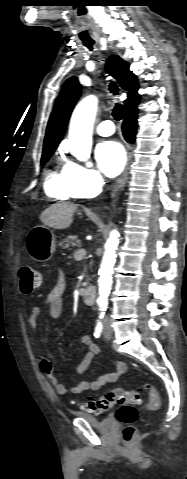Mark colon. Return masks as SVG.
Returning a JSON list of instances; mask_svg holds the SVG:
<instances>
[{
  "mask_svg": "<svg viewBox=\"0 0 187 479\" xmlns=\"http://www.w3.org/2000/svg\"><path fill=\"white\" fill-rule=\"evenodd\" d=\"M18 274L20 278V288L23 293H32L42 284L41 273L29 265L20 266ZM145 388L149 393V401L146 407L151 410L157 409L160 404L158 392L150 384H147ZM139 404L140 397L138 390L114 388L99 399L82 402L80 407L87 412L100 414L117 405L119 409L116 412V418L125 425L123 437L126 442L130 443L134 440L137 433L134 423L138 418L136 405Z\"/></svg>",
  "mask_w": 187,
  "mask_h": 479,
  "instance_id": "5ec220e1",
  "label": "colon"
}]
</instances>
